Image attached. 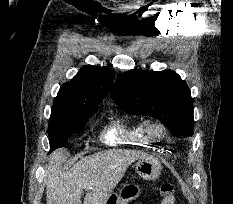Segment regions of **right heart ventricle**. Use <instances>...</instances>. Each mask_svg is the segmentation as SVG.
Returning <instances> with one entry per match:
<instances>
[{"label":"right heart ventricle","mask_w":233,"mask_h":204,"mask_svg":"<svg viewBox=\"0 0 233 204\" xmlns=\"http://www.w3.org/2000/svg\"><path fill=\"white\" fill-rule=\"evenodd\" d=\"M100 139L110 146H145L151 142L142 130V123L127 120L122 116H114L109 120L100 133Z\"/></svg>","instance_id":"obj_1"}]
</instances>
